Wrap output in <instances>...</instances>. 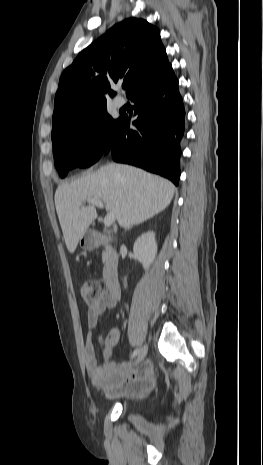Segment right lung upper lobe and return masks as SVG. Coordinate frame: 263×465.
<instances>
[{"instance_id": "right-lung-upper-lobe-1", "label": "right lung upper lobe", "mask_w": 263, "mask_h": 465, "mask_svg": "<svg viewBox=\"0 0 263 465\" xmlns=\"http://www.w3.org/2000/svg\"><path fill=\"white\" fill-rule=\"evenodd\" d=\"M170 66L159 29L129 18L79 53L61 75L52 123L78 109L106 103L111 82L129 84L127 96Z\"/></svg>"}]
</instances>
